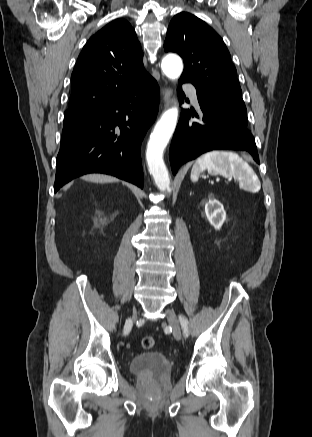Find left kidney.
Instances as JSON below:
<instances>
[{"label": "left kidney", "instance_id": "left-kidney-1", "mask_svg": "<svg viewBox=\"0 0 312 437\" xmlns=\"http://www.w3.org/2000/svg\"><path fill=\"white\" fill-rule=\"evenodd\" d=\"M205 214L210 224L216 229H220L226 219L223 205L213 195L209 196L205 204Z\"/></svg>", "mask_w": 312, "mask_h": 437}]
</instances>
